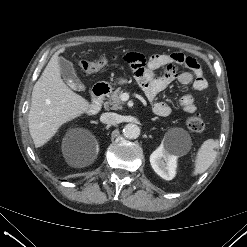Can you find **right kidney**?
<instances>
[{"label":"right kidney","mask_w":247,"mask_h":247,"mask_svg":"<svg viewBox=\"0 0 247 247\" xmlns=\"http://www.w3.org/2000/svg\"><path fill=\"white\" fill-rule=\"evenodd\" d=\"M98 151H99V147H98L97 142H95V152L98 153Z\"/></svg>","instance_id":"1"}]
</instances>
